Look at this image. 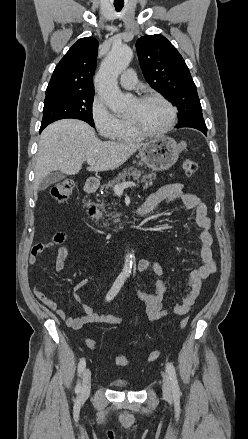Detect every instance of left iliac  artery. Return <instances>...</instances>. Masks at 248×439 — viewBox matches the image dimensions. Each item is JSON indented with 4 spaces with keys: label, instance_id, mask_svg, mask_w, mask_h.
I'll return each instance as SVG.
<instances>
[{
    "label": "left iliac artery",
    "instance_id": "left-iliac-artery-1",
    "mask_svg": "<svg viewBox=\"0 0 248 439\" xmlns=\"http://www.w3.org/2000/svg\"><path fill=\"white\" fill-rule=\"evenodd\" d=\"M166 370H167V372L169 374V377H170V380H171V386H172L173 395L174 396H179L180 390H179V385H178V380H177V374H176L175 367L173 366L172 363H167L166 364Z\"/></svg>",
    "mask_w": 248,
    "mask_h": 439
}]
</instances>
